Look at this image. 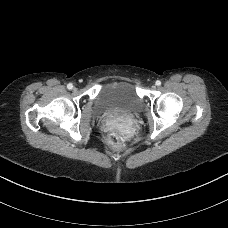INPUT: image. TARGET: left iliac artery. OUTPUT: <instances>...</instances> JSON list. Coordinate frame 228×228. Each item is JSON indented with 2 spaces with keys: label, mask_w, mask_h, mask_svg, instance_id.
<instances>
[{
  "label": "left iliac artery",
  "mask_w": 228,
  "mask_h": 228,
  "mask_svg": "<svg viewBox=\"0 0 228 228\" xmlns=\"http://www.w3.org/2000/svg\"><path fill=\"white\" fill-rule=\"evenodd\" d=\"M156 85H157V86H160V85H161V81L157 80V81H156Z\"/></svg>",
  "instance_id": "1"
}]
</instances>
